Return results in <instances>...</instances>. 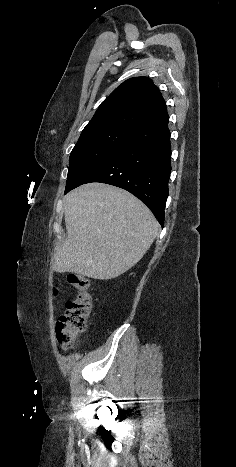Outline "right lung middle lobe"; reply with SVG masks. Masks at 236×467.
<instances>
[{
    "instance_id": "right-lung-middle-lobe-1",
    "label": "right lung middle lobe",
    "mask_w": 236,
    "mask_h": 467,
    "mask_svg": "<svg viewBox=\"0 0 236 467\" xmlns=\"http://www.w3.org/2000/svg\"><path fill=\"white\" fill-rule=\"evenodd\" d=\"M138 133L133 129L116 125L83 130L70 155L66 187L82 176L93 164Z\"/></svg>"
}]
</instances>
